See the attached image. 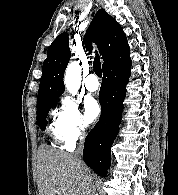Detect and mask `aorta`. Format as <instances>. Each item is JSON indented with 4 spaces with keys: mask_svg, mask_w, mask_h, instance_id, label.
Returning <instances> with one entry per match:
<instances>
[{
    "mask_svg": "<svg viewBox=\"0 0 178 195\" xmlns=\"http://www.w3.org/2000/svg\"><path fill=\"white\" fill-rule=\"evenodd\" d=\"M64 83L70 94L76 95L81 85V67L78 62H71L65 72Z\"/></svg>",
    "mask_w": 178,
    "mask_h": 195,
    "instance_id": "obj_1",
    "label": "aorta"
}]
</instances>
